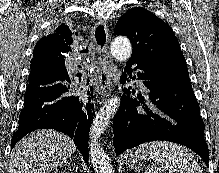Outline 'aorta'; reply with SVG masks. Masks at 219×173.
Returning <instances> with one entry per match:
<instances>
[{"instance_id":"1","label":"aorta","mask_w":219,"mask_h":173,"mask_svg":"<svg viewBox=\"0 0 219 173\" xmlns=\"http://www.w3.org/2000/svg\"><path fill=\"white\" fill-rule=\"evenodd\" d=\"M111 54L117 61H126L131 57L132 46L129 39L119 36L111 43ZM120 106L118 96L111 97L98 111L90 128L89 155L91 164L96 173H114L111 160L98 143V139L107 128L110 120Z\"/></svg>"}]
</instances>
